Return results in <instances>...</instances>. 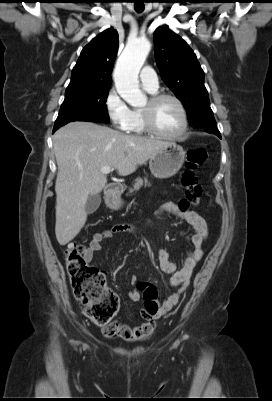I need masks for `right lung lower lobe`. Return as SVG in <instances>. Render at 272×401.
I'll return each mask as SVG.
<instances>
[{
	"mask_svg": "<svg viewBox=\"0 0 272 401\" xmlns=\"http://www.w3.org/2000/svg\"><path fill=\"white\" fill-rule=\"evenodd\" d=\"M57 129H58V128H54V129H53V132H55Z\"/></svg>",
	"mask_w": 272,
	"mask_h": 401,
	"instance_id": "obj_1",
	"label": "right lung lower lobe"
}]
</instances>
